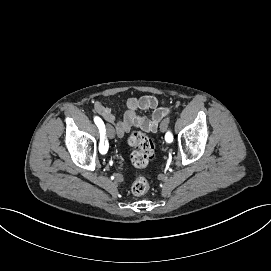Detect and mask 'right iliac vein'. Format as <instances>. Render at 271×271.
<instances>
[{"label":"right iliac vein","instance_id":"obj_1","mask_svg":"<svg viewBox=\"0 0 271 271\" xmlns=\"http://www.w3.org/2000/svg\"><path fill=\"white\" fill-rule=\"evenodd\" d=\"M107 135L110 139L114 138L115 136L114 129L110 125H107Z\"/></svg>","mask_w":271,"mask_h":271}]
</instances>
